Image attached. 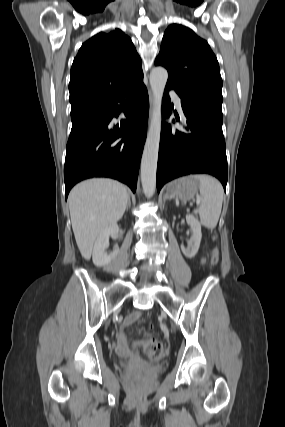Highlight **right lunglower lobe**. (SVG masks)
I'll list each match as a JSON object with an SVG mask.
<instances>
[{
	"label": "right lung lower lobe",
	"instance_id": "obj_1",
	"mask_svg": "<svg viewBox=\"0 0 285 427\" xmlns=\"http://www.w3.org/2000/svg\"><path fill=\"white\" fill-rule=\"evenodd\" d=\"M123 111L120 127L112 119ZM149 98L143 78L108 99L71 113L64 166L65 196L81 180L110 177L136 190L144 147Z\"/></svg>",
	"mask_w": 285,
	"mask_h": 427
}]
</instances>
